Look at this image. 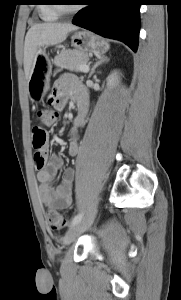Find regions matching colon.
Masks as SVG:
<instances>
[{
  "label": "colon",
  "mask_w": 181,
  "mask_h": 300,
  "mask_svg": "<svg viewBox=\"0 0 181 300\" xmlns=\"http://www.w3.org/2000/svg\"><path fill=\"white\" fill-rule=\"evenodd\" d=\"M35 119L40 123L33 128L32 131V147L35 151V165L40 168L45 163L42 155L43 149L48 141V134L42 126H49L57 119V114L50 109H39L35 112ZM46 221L53 230H59L66 226L67 220L65 216L56 210H48L46 212Z\"/></svg>",
  "instance_id": "5ec220e1"
}]
</instances>
